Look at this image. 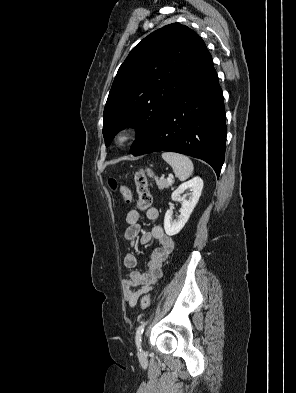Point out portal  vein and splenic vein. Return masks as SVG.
I'll use <instances>...</instances> for the list:
<instances>
[{
  "label": "portal vein and splenic vein",
  "mask_w": 296,
  "mask_h": 393,
  "mask_svg": "<svg viewBox=\"0 0 296 393\" xmlns=\"http://www.w3.org/2000/svg\"><path fill=\"white\" fill-rule=\"evenodd\" d=\"M167 181L173 182V179L171 177L167 178Z\"/></svg>",
  "instance_id": "portal-vein-and-splenic-vein-1"
}]
</instances>
